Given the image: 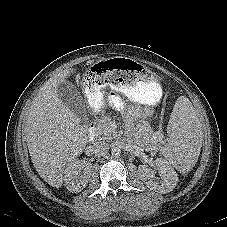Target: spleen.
Instances as JSON below:
<instances>
[{"instance_id": "3e777b00", "label": "spleen", "mask_w": 227, "mask_h": 227, "mask_svg": "<svg viewBox=\"0 0 227 227\" xmlns=\"http://www.w3.org/2000/svg\"><path fill=\"white\" fill-rule=\"evenodd\" d=\"M173 111L168 131L171 140L164 154L173 167L185 173L193 168L200 153L201 123L193 112V102L187 97L178 98Z\"/></svg>"}]
</instances>
